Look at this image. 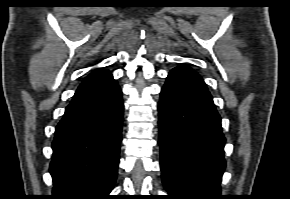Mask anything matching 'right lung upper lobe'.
I'll return each instance as SVG.
<instances>
[{
	"label": "right lung upper lobe",
	"instance_id": "right-lung-upper-lobe-1",
	"mask_svg": "<svg viewBox=\"0 0 290 199\" xmlns=\"http://www.w3.org/2000/svg\"><path fill=\"white\" fill-rule=\"evenodd\" d=\"M113 79L112 74L104 69H97L90 73L80 84L76 93L97 88Z\"/></svg>",
	"mask_w": 290,
	"mask_h": 199
}]
</instances>
